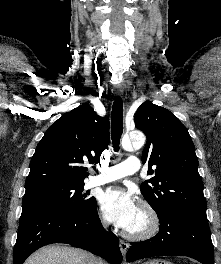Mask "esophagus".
Here are the masks:
<instances>
[{"instance_id":"1","label":"esophagus","mask_w":221,"mask_h":264,"mask_svg":"<svg viewBox=\"0 0 221 264\" xmlns=\"http://www.w3.org/2000/svg\"><path fill=\"white\" fill-rule=\"evenodd\" d=\"M113 91H114V94L116 96H122L123 95V88L119 85L115 86ZM119 246H120V250H121L123 257H125L126 253L128 251V248H129V244L123 240H120Z\"/></svg>"}]
</instances>
